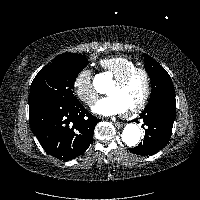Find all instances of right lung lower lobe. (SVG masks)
Here are the masks:
<instances>
[{"label": "right lung lower lobe", "mask_w": 200, "mask_h": 200, "mask_svg": "<svg viewBox=\"0 0 200 200\" xmlns=\"http://www.w3.org/2000/svg\"><path fill=\"white\" fill-rule=\"evenodd\" d=\"M98 121L78 100L29 105L33 134L48 154L65 161L86 151Z\"/></svg>", "instance_id": "obj_1"}]
</instances>
